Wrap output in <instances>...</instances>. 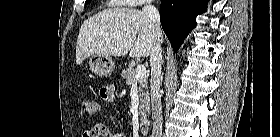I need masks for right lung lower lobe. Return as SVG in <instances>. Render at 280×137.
I'll use <instances>...</instances> for the list:
<instances>
[{"mask_svg":"<svg viewBox=\"0 0 280 137\" xmlns=\"http://www.w3.org/2000/svg\"><path fill=\"white\" fill-rule=\"evenodd\" d=\"M208 0H161L160 21L174 51L195 27L196 16L206 11Z\"/></svg>","mask_w":280,"mask_h":137,"instance_id":"98d812e1","label":"right lung lower lobe"}]
</instances>
